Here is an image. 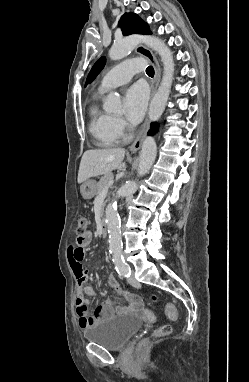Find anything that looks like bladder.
Returning a JSON list of instances; mask_svg holds the SVG:
<instances>
[{"instance_id": "31cf9c89", "label": "bladder", "mask_w": 249, "mask_h": 382, "mask_svg": "<svg viewBox=\"0 0 249 382\" xmlns=\"http://www.w3.org/2000/svg\"><path fill=\"white\" fill-rule=\"evenodd\" d=\"M143 325V319L137 315H115L87 327L84 330V338L88 342L100 344L106 349L120 350Z\"/></svg>"}]
</instances>
